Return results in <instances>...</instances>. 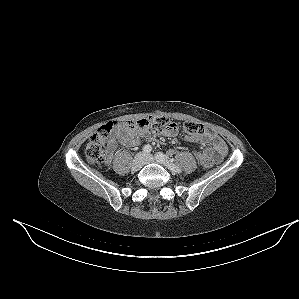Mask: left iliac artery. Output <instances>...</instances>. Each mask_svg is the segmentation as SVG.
<instances>
[{"instance_id": "obj_1", "label": "left iliac artery", "mask_w": 299, "mask_h": 299, "mask_svg": "<svg viewBox=\"0 0 299 299\" xmlns=\"http://www.w3.org/2000/svg\"><path fill=\"white\" fill-rule=\"evenodd\" d=\"M155 158L157 161L164 163L170 170L178 173L181 172V169L173 163V159H168L163 153H156Z\"/></svg>"}]
</instances>
